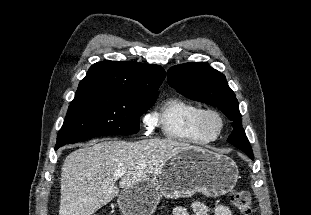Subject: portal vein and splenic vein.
I'll list each match as a JSON object with an SVG mask.
<instances>
[{
  "label": "portal vein and splenic vein",
  "mask_w": 311,
  "mask_h": 215,
  "mask_svg": "<svg viewBox=\"0 0 311 215\" xmlns=\"http://www.w3.org/2000/svg\"><path fill=\"white\" fill-rule=\"evenodd\" d=\"M126 172H127V171L124 170V169L117 170V171L114 173L113 177H114L115 179L121 178L122 176H124V175L126 174Z\"/></svg>",
  "instance_id": "portal-vein-and-splenic-vein-1"
}]
</instances>
